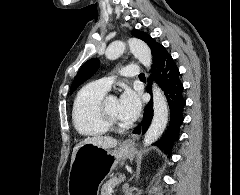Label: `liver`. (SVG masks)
Wrapping results in <instances>:
<instances>
[{
	"label": "liver",
	"instance_id": "1",
	"mask_svg": "<svg viewBox=\"0 0 240 195\" xmlns=\"http://www.w3.org/2000/svg\"><path fill=\"white\" fill-rule=\"evenodd\" d=\"M84 143H95V145H100V147H105V149H111V147H115V145H117L118 141L117 139H114V137H110V135H94V137H85V139H82L80 143H77V145L73 147L71 163L74 161L77 149H79L81 145H84Z\"/></svg>",
	"mask_w": 240,
	"mask_h": 195
}]
</instances>
